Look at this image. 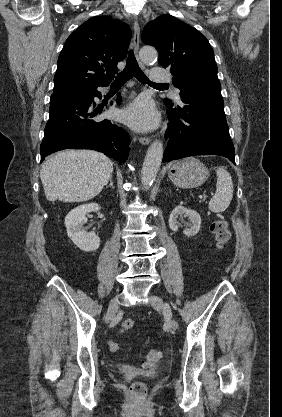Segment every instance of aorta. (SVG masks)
Listing matches in <instances>:
<instances>
[{"label":"aorta","instance_id":"obj_1","mask_svg":"<svg viewBox=\"0 0 282 417\" xmlns=\"http://www.w3.org/2000/svg\"><path fill=\"white\" fill-rule=\"evenodd\" d=\"M139 56L144 64H154V62H157L158 52L154 46H142V48H140ZM162 158L163 142H161V140H154L146 152L141 170V182L144 188H149L152 182H154Z\"/></svg>","mask_w":282,"mask_h":417}]
</instances>
